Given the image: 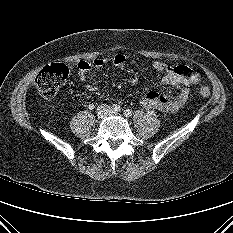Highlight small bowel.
Wrapping results in <instances>:
<instances>
[{
    "label": "small bowel",
    "instance_id": "c3829d8e",
    "mask_svg": "<svg viewBox=\"0 0 233 233\" xmlns=\"http://www.w3.org/2000/svg\"><path fill=\"white\" fill-rule=\"evenodd\" d=\"M126 60L125 55L121 53L112 54L106 57L97 58L91 63L80 62V76L83 80H87L86 87L93 91L96 88L95 80L89 79L87 76L91 68H101L104 65L110 64L114 66H121ZM153 69L163 74L162 81L169 87L180 86L181 89L176 96L160 95L157 92H148L141 99V106L147 111L159 110L162 112H175L180 109L186 102L189 94V87L198 81V76L194 73H183L179 70L189 69L186 66L173 67L160 61H155L152 64Z\"/></svg>",
    "mask_w": 233,
    "mask_h": 233
}]
</instances>
